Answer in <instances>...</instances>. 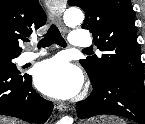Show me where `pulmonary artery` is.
Masks as SVG:
<instances>
[{"mask_svg":"<svg viewBox=\"0 0 145 124\" xmlns=\"http://www.w3.org/2000/svg\"><path fill=\"white\" fill-rule=\"evenodd\" d=\"M91 42L92 39L86 30L74 29L72 31V35L70 38L71 47L88 48L91 45ZM44 54L45 51L41 52L27 51L20 56L19 61L20 63L25 64L43 56Z\"/></svg>","mask_w":145,"mask_h":124,"instance_id":"obj_1","label":"pulmonary artery"}]
</instances>
